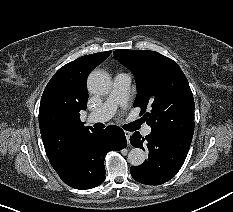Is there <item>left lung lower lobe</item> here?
I'll list each match as a JSON object with an SVG mask.
<instances>
[{
    "label": "left lung lower lobe",
    "instance_id": "obj_1",
    "mask_svg": "<svg viewBox=\"0 0 233 212\" xmlns=\"http://www.w3.org/2000/svg\"><path fill=\"white\" fill-rule=\"evenodd\" d=\"M192 138L177 134L153 132L145 138L139 132L130 137L134 147L146 148L148 159L140 166H132V177L146 185H159L173 178L182 167Z\"/></svg>",
    "mask_w": 233,
    "mask_h": 212
}]
</instances>
